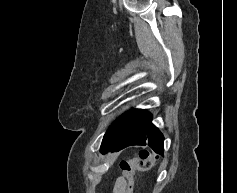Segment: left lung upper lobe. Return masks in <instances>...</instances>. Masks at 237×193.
Returning <instances> with one entry per match:
<instances>
[{
  "mask_svg": "<svg viewBox=\"0 0 237 193\" xmlns=\"http://www.w3.org/2000/svg\"><path fill=\"white\" fill-rule=\"evenodd\" d=\"M133 111L134 110H130L124 113L112 123V125L109 127V129L104 135L101 144V149L110 147L111 145L117 142V140L120 138L125 128L127 127Z\"/></svg>",
  "mask_w": 237,
  "mask_h": 193,
  "instance_id": "1",
  "label": "left lung upper lobe"
}]
</instances>
